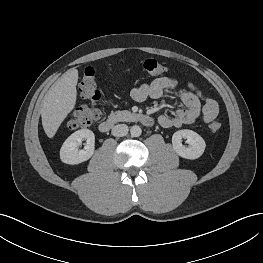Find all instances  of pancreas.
<instances>
[{
	"label": "pancreas",
	"instance_id": "1",
	"mask_svg": "<svg viewBox=\"0 0 263 263\" xmlns=\"http://www.w3.org/2000/svg\"><path fill=\"white\" fill-rule=\"evenodd\" d=\"M135 117H136V114H133L127 110L112 112L109 115V119L114 122H124V121L128 122V121L134 120Z\"/></svg>",
	"mask_w": 263,
	"mask_h": 263
}]
</instances>
